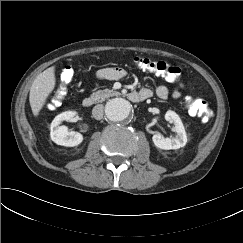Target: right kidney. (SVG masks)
I'll use <instances>...</instances> for the list:
<instances>
[{
	"mask_svg": "<svg viewBox=\"0 0 243 243\" xmlns=\"http://www.w3.org/2000/svg\"><path fill=\"white\" fill-rule=\"evenodd\" d=\"M76 112L66 111L57 115L51 123L50 137L57 145L66 147L78 146L83 141L82 134L78 132H69L66 126H60L63 121H70Z\"/></svg>",
	"mask_w": 243,
	"mask_h": 243,
	"instance_id": "1",
	"label": "right kidney"
}]
</instances>
